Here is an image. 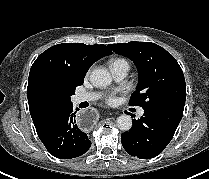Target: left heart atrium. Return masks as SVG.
<instances>
[{"label": "left heart atrium", "instance_id": "left-heart-atrium-1", "mask_svg": "<svg viewBox=\"0 0 209 179\" xmlns=\"http://www.w3.org/2000/svg\"><path fill=\"white\" fill-rule=\"evenodd\" d=\"M106 102L109 103V104H113L116 102V97L114 94H110L107 96L106 98Z\"/></svg>", "mask_w": 209, "mask_h": 179}]
</instances>
